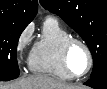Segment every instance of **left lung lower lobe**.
Masks as SVG:
<instances>
[{"mask_svg": "<svg viewBox=\"0 0 107 89\" xmlns=\"http://www.w3.org/2000/svg\"><path fill=\"white\" fill-rule=\"evenodd\" d=\"M84 85L95 89H107V68L102 69L96 76L91 77Z\"/></svg>", "mask_w": 107, "mask_h": 89, "instance_id": "0a47b994", "label": "left lung lower lobe"}]
</instances>
